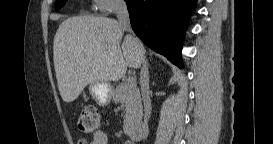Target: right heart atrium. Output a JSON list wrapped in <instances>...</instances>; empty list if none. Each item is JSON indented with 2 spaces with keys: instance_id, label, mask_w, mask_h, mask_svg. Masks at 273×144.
<instances>
[{
  "instance_id": "obj_1",
  "label": "right heart atrium",
  "mask_w": 273,
  "mask_h": 144,
  "mask_svg": "<svg viewBox=\"0 0 273 144\" xmlns=\"http://www.w3.org/2000/svg\"><path fill=\"white\" fill-rule=\"evenodd\" d=\"M95 9L104 14H110L124 5L123 0H94Z\"/></svg>"
}]
</instances>
